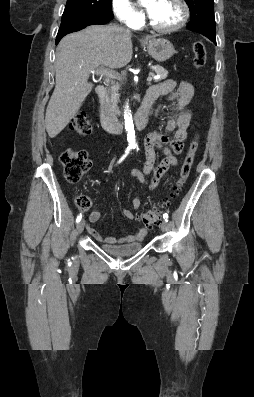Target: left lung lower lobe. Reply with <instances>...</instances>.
Returning a JSON list of instances; mask_svg holds the SVG:
<instances>
[{"label":"left lung lower lobe","mask_w":254,"mask_h":397,"mask_svg":"<svg viewBox=\"0 0 254 397\" xmlns=\"http://www.w3.org/2000/svg\"><path fill=\"white\" fill-rule=\"evenodd\" d=\"M215 27H216V25H211V24H190V23H188V26H187V28L189 30L198 32V33L206 36L214 44H216Z\"/></svg>","instance_id":"obj_1"}]
</instances>
